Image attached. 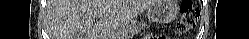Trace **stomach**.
Returning <instances> with one entry per match:
<instances>
[{
  "mask_svg": "<svg viewBox=\"0 0 249 39\" xmlns=\"http://www.w3.org/2000/svg\"><path fill=\"white\" fill-rule=\"evenodd\" d=\"M175 12L176 3L174 0H157L154 5L147 9L148 21L166 24L174 18Z\"/></svg>",
  "mask_w": 249,
  "mask_h": 39,
  "instance_id": "obj_1",
  "label": "stomach"
}]
</instances>
